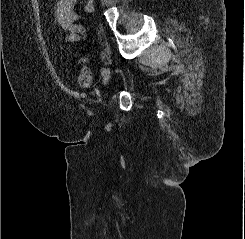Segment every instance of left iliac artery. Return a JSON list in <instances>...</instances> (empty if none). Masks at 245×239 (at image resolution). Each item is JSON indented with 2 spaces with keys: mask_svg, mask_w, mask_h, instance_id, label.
<instances>
[{
  "mask_svg": "<svg viewBox=\"0 0 245 239\" xmlns=\"http://www.w3.org/2000/svg\"><path fill=\"white\" fill-rule=\"evenodd\" d=\"M104 71H105V69L104 68H101V75H102V77L104 75Z\"/></svg>",
  "mask_w": 245,
  "mask_h": 239,
  "instance_id": "44dca946",
  "label": "left iliac artery"
}]
</instances>
